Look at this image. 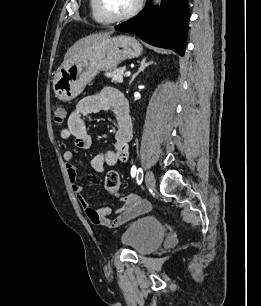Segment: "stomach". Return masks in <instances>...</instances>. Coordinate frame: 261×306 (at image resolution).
I'll return each instance as SVG.
<instances>
[{
    "label": "stomach",
    "mask_w": 261,
    "mask_h": 306,
    "mask_svg": "<svg viewBox=\"0 0 261 306\" xmlns=\"http://www.w3.org/2000/svg\"><path fill=\"white\" fill-rule=\"evenodd\" d=\"M141 44L128 35L106 37L84 49L59 67L53 78L55 96L61 101L77 97L100 71H111L126 59L139 57Z\"/></svg>",
    "instance_id": "stomach-1"
}]
</instances>
